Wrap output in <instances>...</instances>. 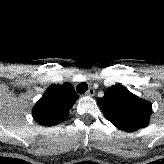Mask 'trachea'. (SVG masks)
I'll return each instance as SVG.
<instances>
[{"instance_id":"3493384b","label":"trachea","mask_w":164,"mask_h":164,"mask_svg":"<svg viewBox=\"0 0 164 164\" xmlns=\"http://www.w3.org/2000/svg\"><path fill=\"white\" fill-rule=\"evenodd\" d=\"M88 89V85L87 83L85 82H82V83H79L77 86H76V91L80 94H83L87 91Z\"/></svg>"}]
</instances>
